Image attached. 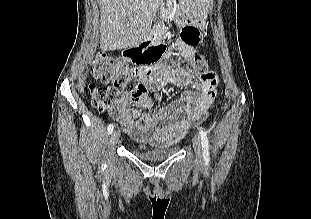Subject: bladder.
Wrapping results in <instances>:
<instances>
[{"mask_svg": "<svg viewBox=\"0 0 311 219\" xmlns=\"http://www.w3.org/2000/svg\"><path fill=\"white\" fill-rule=\"evenodd\" d=\"M133 152L140 158L148 161H160L172 157L179 151V146L164 145L162 147L150 148L140 144L132 147Z\"/></svg>", "mask_w": 311, "mask_h": 219, "instance_id": "obj_1", "label": "bladder"}]
</instances>
